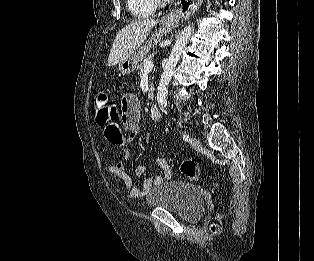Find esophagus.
<instances>
[{
    "mask_svg": "<svg viewBox=\"0 0 314 261\" xmlns=\"http://www.w3.org/2000/svg\"><path fill=\"white\" fill-rule=\"evenodd\" d=\"M202 0H197L193 5L191 4H187L189 5L186 11H183V8H178L175 10V13L179 16H189L190 14H193L197 8L200 6Z\"/></svg>",
    "mask_w": 314,
    "mask_h": 261,
    "instance_id": "esophagus-1",
    "label": "esophagus"
}]
</instances>
